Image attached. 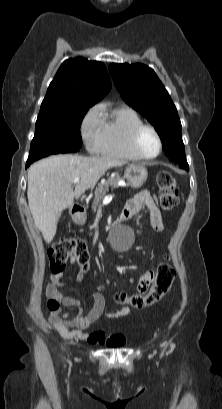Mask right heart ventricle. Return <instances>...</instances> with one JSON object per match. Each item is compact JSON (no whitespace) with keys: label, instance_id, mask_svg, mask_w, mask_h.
<instances>
[{"label":"right heart ventricle","instance_id":"obj_1","mask_svg":"<svg viewBox=\"0 0 222 409\" xmlns=\"http://www.w3.org/2000/svg\"><path fill=\"white\" fill-rule=\"evenodd\" d=\"M102 122L98 152L118 160H140L130 146L132 132L143 125L140 115L131 107L118 105L102 110Z\"/></svg>","mask_w":222,"mask_h":409}]
</instances>
